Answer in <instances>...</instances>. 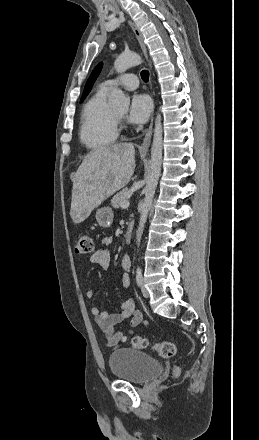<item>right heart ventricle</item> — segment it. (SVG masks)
Returning a JSON list of instances; mask_svg holds the SVG:
<instances>
[{
  "instance_id": "1",
  "label": "right heart ventricle",
  "mask_w": 259,
  "mask_h": 440,
  "mask_svg": "<svg viewBox=\"0 0 259 440\" xmlns=\"http://www.w3.org/2000/svg\"><path fill=\"white\" fill-rule=\"evenodd\" d=\"M106 96L107 92L99 89L82 110L79 137L81 143L91 151L103 150L118 138V122Z\"/></svg>"
}]
</instances>
